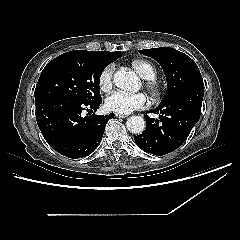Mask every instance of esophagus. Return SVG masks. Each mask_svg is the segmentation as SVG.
Listing matches in <instances>:
<instances>
[{
  "label": "esophagus",
  "instance_id": "34e87169",
  "mask_svg": "<svg viewBox=\"0 0 240 240\" xmlns=\"http://www.w3.org/2000/svg\"><path fill=\"white\" fill-rule=\"evenodd\" d=\"M115 116L118 118H127L128 117V115H122V114H118V113H116Z\"/></svg>",
  "mask_w": 240,
  "mask_h": 240
}]
</instances>
